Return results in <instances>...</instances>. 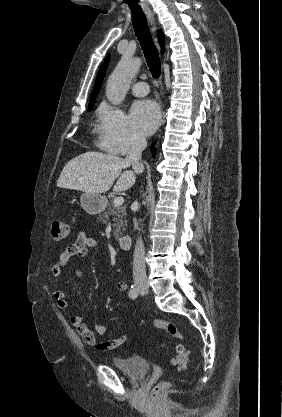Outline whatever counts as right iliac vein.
Returning a JSON list of instances; mask_svg holds the SVG:
<instances>
[{"instance_id":"obj_1","label":"right iliac vein","mask_w":282,"mask_h":417,"mask_svg":"<svg viewBox=\"0 0 282 417\" xmlns=\"http://www.w3.org/2000/svg\"><path fill=\"white\" fill-rule=\"evenodd\" d=\"M137 288H138L139 290H143V289H145V288H146V285H144V284H138V285H137Z\"/></svg>"}]
</instances>
